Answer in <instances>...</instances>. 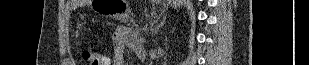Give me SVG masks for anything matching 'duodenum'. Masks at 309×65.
<instances>
[{
    "mask_svg": "<svg viewBox=\"0 0 309 65\" xmlns=\"http://www.w3.org/2000/svg\"><path fill=\"white\" fill-rule=\"evenodd\" d=\"M135 53L140 60L145 59V50H144L143 46L137 47L135 49Z\"/></svg>",
    "mask_w": 309,
    "mask_h": 65,
    "instance_id": "410a0bca",
    "label": "duodenum"
}]
</instances>
